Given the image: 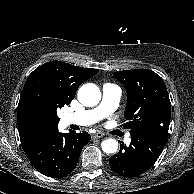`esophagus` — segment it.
Here are the masks:
<instances>
[{
	"instance_id": "1",
	"label": "esophagus",
	"mask_w": 194,
	"mask_h": 194,
	"mask_svg": "<svg viewBox=\"0 0 194 194\" xmlns=\"http://www.w3.org/2000/svg\"><path fill=\"white\" fill-rule=\"evenodd\" d=\"M103 136H104V133H102V132H96V133L91 135V137L93 139H99V138H102Z\"/></svg>"
}]
</instances>
